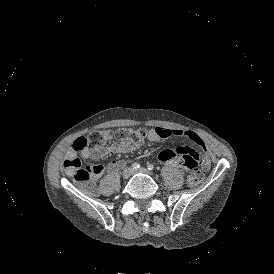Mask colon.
Segmentation results:
<instances>
[{"label": "colon", "instance_id": "1", "mask_svg": "<svg viewBox=\"0 0 274 274\" xmlns=\"http://www.w3.org/2000/svg\"><path fill=\"white\" fill-rule=\"evenodd\" d=\"M95 135L96 137H101L103 140L115 138L122 142H138L140 139L145 137L146 131L144 129H107L95 132ZM74 143L75 146L71 147L70 153L64 159L63 167L75 182L85 184L89 180L93 179V177L103 172L104 166L101 164L83 166L78 153L83 149V147L88 146V139L84 138L83 134H78ZM204 179L205 177L203 172L197 168L190 171L187 177V182L191 188H196L202 184Z\"/></svg>", "mask_w": 274, "mask_h": 274}]
</instances>
